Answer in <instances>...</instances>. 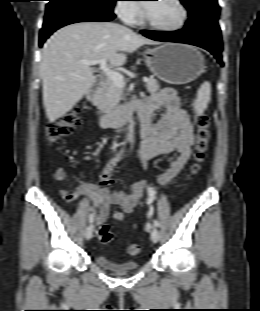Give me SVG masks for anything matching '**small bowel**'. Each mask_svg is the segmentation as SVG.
Returning <instances> with one entry per match:
<instances>
[{"mask_svg": "<svg viewBox=\"0 0 260 311\" xmlns=\"http://www.w3.org/2000/svg\"><path fill=\"white\" fill-rule=\"evenodd\" d=\"M159 109L163 113L156 122L151 121V114ZM141 136L142 145L138 150H125L116 156L114 163L135 155L145 166L146 161L166 155L169 163L159 178L164 185L174 179L184 168L191 156V148L195 141L193 126L188 113L181 107L176 91L165 88L152 95L145 103L141 111ZM112 166H109L102 174L101 187L83 184L75 190L68 185L67 173L64 168H57L53 178L64 184L61 189L62 197L71 202L80 195H90L98 205V213L94 215L95 224L103 223L109 216L110 208L115 205L117 209L113 213L116 221H122L125 215L132 213L137 201L142 196L146 187L143 180L137 183L131 194L110 189L114 181L111 176Z\"/></svg>", "mask_w": 260, "mask_h": 311, "instance_id": "c3829d8e", "label": "small bowel"}]
</instances>
